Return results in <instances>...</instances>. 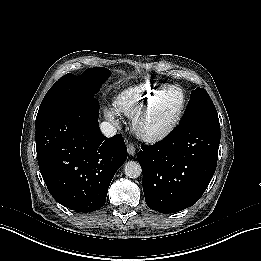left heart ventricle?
Returning a JSON list of instances; mask_svg holds the SVG:
<instances>
[{"mask_svg":"<svg viewBox=\"0 0 261 261\" xmlns=\"http://www.w3.org/2000/svg\"><path fill=\"white\" fill-rule=\"evenodd\" d=\"M179 100L180 97L176 91H168L155 102L146 119H143V123L149 127L153 126V128L164 127L175 113ZM144 124L143 126H145Z\"/></svg>","mask_w":261,"mask_h":261,"instance_id":"b2bd125f","label":"left heart ventricle"}]
</instances>
